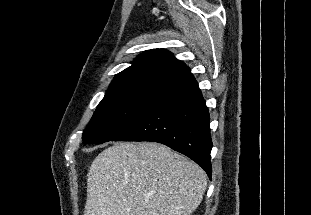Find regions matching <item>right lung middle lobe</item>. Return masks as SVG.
I'll return each instance as SVG.
<instances>
[{"label": "right lung middle lobe", "instance_id": "1", "mask_svg": "<svg viewBox=\"0 0 311 215\" xmlns=\"http://www.w3.org/2000/svg\"><path fill=\"white\" fill-rule=\"evenodd\" d=\"M169 86L138 84L108 89L83 132L84 143L100 144L125 133L158 103Z\"/></svg>", "mask_w": 311, "mask_h": 215}]
</instances>
